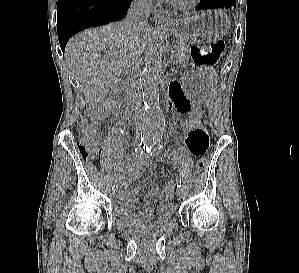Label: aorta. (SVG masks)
Segmentation results:
<instances>
[{"instance_id": "1", "label": "aorta", "mask_w": 299, "mask_h": 273, "mask_svg": "<svg viewBox=\"0 0 299 273\" xmlns=\"http://www.w3.org/2000/svg\"><path fill=\"white\" fill-rule=\"evenodd\" d=\"M162 43L157 38L148 49L141 75L145 110L141 121L142 140L152 142L162 136L164 116L159 106V79L162 75Z\"/></svg>"}]
</instances>
